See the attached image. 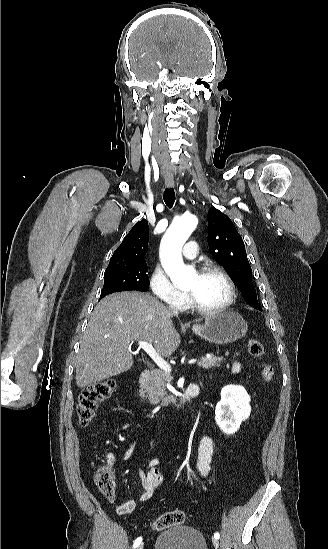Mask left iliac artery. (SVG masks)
<instances>
[{"label": "left iliac artery", "mask_w": 328, "mask_h": 549, "mask_svg": "<svg viewBox=\"0 0 328 549\" xmlns=\"http://www.w3.org/2000/svg\"><path fill=\"white\" fill-rule=\"evenodd\" d=\"M214 538L219 539V538H220V534H219L218 532L214 533Z\"/></svg>", "instance_id": "obj_1"}]
</instances>
